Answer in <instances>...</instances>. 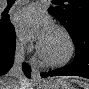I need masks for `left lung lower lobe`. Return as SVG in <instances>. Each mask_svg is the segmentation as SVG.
<instances>
[{
	"mask_svg": "<svg viewBox=\"0 0 89 89\" xmlns=\"http://www.w3.org/2000/svg\"><path fill=\"white\" fill-rule=\"evenodd\" d=\"M70 36L76 49L73 62L48 73L42 72L41 77L72 75L89 78V25L81 24Z\"/></svg>",
	"mask_w": 89,
	"mask_h": 89,
	"instance_id": "0a47b994",
	"label": "left lung lower lobe"
}]
</instances>
